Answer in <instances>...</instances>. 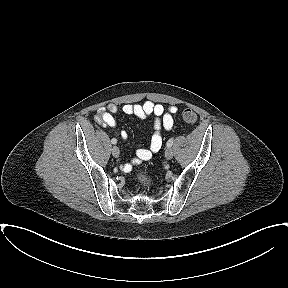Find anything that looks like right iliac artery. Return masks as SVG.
<instances>
[{
  "label": "right iliac artery",
  "mask_w": 288,
  "mask_h": 288,
  "mask_svg": "<svg viewBox=\"0 0 288 288\" xmlns=\"http://www.w3.org/2000/svg\"><path fill=\"white\" fill-rule=\"evenodd\" d=\"M111 143H112V144H116V143H117V139L113 138V139L111 140Z\"/></svg>",
  "instance_id": "82829eb1"
}]
</instances>
